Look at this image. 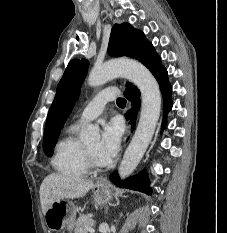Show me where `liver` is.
<instances>
[{"label": "liver", "mask_w": 227, "mask_h": 233, "mask_svg": "<svg viewBox=\"0 0 227 233\" xmlns=\"http://www.w3.org/2000/svg\"><path fill=\"white\" fill-rule=\"evenodd\" d=\"M93 187L94 183L91 180L73 178L57 173L49 174L44 178L39 190L43 214L45 215L54 202L81 198Z\"/></svg>", "instance_id": "liver-1"}]
</instances>
